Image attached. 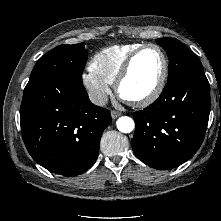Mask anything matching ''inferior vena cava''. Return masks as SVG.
Returning <instances> with one entry per match:
<instances>
[{
    "instance_id": "inferior-vena-cava-1",
    "label": "inferior vena cava",
    "mask_w": 221,
    "mask_h": 221,
    "mask_svg": "<svg viewBox=\"0 0 221 221\" xmlns=\"http://www.w3.org/2000/svg\"><path fill=\"white\" fill-rule=\"evenodd\" d=\"M90 101L98 106H105L108 102V96L102 91H92L89 92Z\"/></svg>"
}]
</instances>
